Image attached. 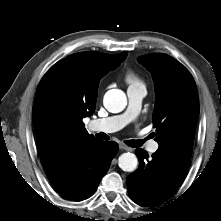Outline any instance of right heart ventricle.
I'll return each mask as SVG.
<instances>
[{
	"instance_id": "right-heart-ventricle-1",
	"label": "right heart ventricle",
	"mask_w": 221,
	"mask_h": 221,
	"mask_svg": "<svg viewBox=\"0 0 221 221\" xmlns=\"http://www.w3.org/2000/svg\"><path fill=\"white\" fill-rule=\"evenodd\" d=\"M126 81L128 83H130L131 85H141L139 79L137 78V76L132 72L127 73Z\"/></svg>"
}]
</instances>
